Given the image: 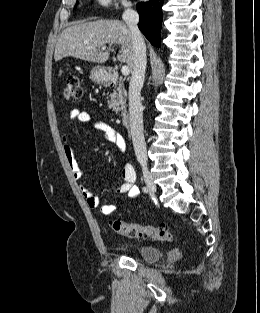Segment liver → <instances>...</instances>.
Masks as SVG:
<instances>
[{"instance_id": "liver-1", "label": "liver", "mask_w": 260, "mask_h": 313, "mask_svg": "<svg viewBox=\"0 0 260 313\" xmlns=\"http://www.w3.org/2000/svg\"><path fill=\"white\" fill-rule=\"evenodd\" d=\"M113 44L120 45L117 60L120 63H127L132 71L133 43L129 27L122 21L100 19L90 22H79L62 31L54 52L55 61L64 57L104 63L109 59L110 47ZM109 45V49L102 47Z\"/></svg>"}]
</instances>
